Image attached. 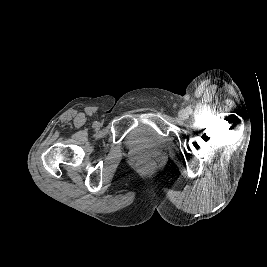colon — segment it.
I'll list each match as a JSON object with an SVG mask.
<instances>
[{
    "label": "colon",
    "mask_w": 267,
    "mask_h": 267,
    "mask_svg": "<svg viewBox=\"0 0 267 267\" xmlns=\"http://www.w3.org/2000/svg\"><path fill=\"white\" fill-rule=\"evenodd\" d=\"M143 169H144L145 171H150V170L152 169V166H151V165H145V166L143 167Z\"/></svg>",
    "instance_id": "colon-1"
}]
</instances>
